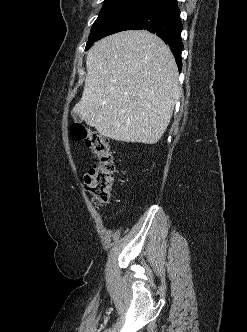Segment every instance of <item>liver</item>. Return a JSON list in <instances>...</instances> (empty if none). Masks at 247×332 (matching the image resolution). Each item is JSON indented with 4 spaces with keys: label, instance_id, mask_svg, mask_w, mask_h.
<instances>
[{
    "label": "liver",
    "instance_id": "1",
    "mask_svg": "<svg viewBox=\"0 0 247 332\" xmlns=\"http://www.w3.org/2000/svg\"><path fill=\"white\" fill-rule=\"evenodd\" d=\"M86 68L82 98L73 112L107 138L158 142L180 92L169 47L147 31H123L96 42Z\"/></svg>",
    "mask_w": 247,
    "mask_h": 332
}]
</instances>
